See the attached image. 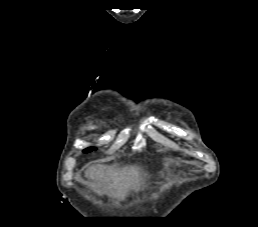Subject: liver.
I'll use <instances>...</instances> for the list:
<instances>
[{"label": "liver", "mask_w": 258, "mask_h": 227, "mask_svg": "<svg viewBox=\"0 0 258 227\" xmlns=\"http://www.w3.org/2000/svg\"><path fill=\"white\" fill-rule=\"evenodd\" d=\"M86 176L102 184L106 194L121 200L130 190H138L142 180V172L135 166L115 168L97 164L86 171Z\"/></svg>", "instance_id": "liver-1"}]
</instances>
